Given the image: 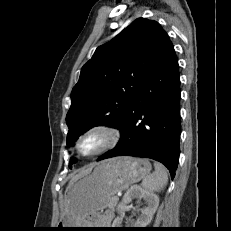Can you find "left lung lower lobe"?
I'll return each instance as SVG.
<instances>
[{
    "mask_svg": "<svg viewBox=\"0 0 231 231\" xmlns=\"http://www.w3.org/2000/svg\"><path fill=\"white\" fill-rule=\"evenodd\" d=\"M141 82L117 127L119 143L98 161L124 155L151 158L163 163L174 178L180 154V79L169 36Z\"/></svg>",
    "mask_w": 231,
    "mask_h": 231,
    "instance_id": "0a47b994",
    "label": "left lung lower lobe"
}]
</instances>
